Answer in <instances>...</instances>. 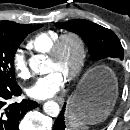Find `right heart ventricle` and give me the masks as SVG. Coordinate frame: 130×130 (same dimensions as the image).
Wrapping results in <instances>:
<instances>
[{"label":"right heart ventricle","instance_id":"e07e8e85","mask_svg":"<svg viewBox=\"0 0 130 130\" xmlns=\"http://www.w3.org/2000/svg\"><path fill=\"white\" fill-rule=\"evenodd\" d=\"M60 33L56 30H44L33 35L28 41V47L39 53H48Z\"/></svg>","mask_w":130,"mask_h":130}]
</instances>
